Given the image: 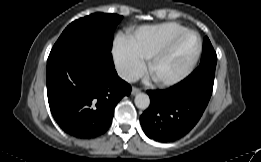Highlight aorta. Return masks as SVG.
<instances>
[{
  "mask_svg": "<svg viewBox=\"0 0 261 162\" xmlns=\"http://www.w3.org/2000/svg\"><path fill=\"white\" fill-rule=\"evenodd\" d=\"M135 105L137 108L145 110L149 107L150 105V98L147 94L145 93H138L135 96Z\"/></svg>",
  "mask_w": 261,
  "mask_h": 162,
  "instance_id": "obj_1",
  "label": "aorta"
}]
</instances>
